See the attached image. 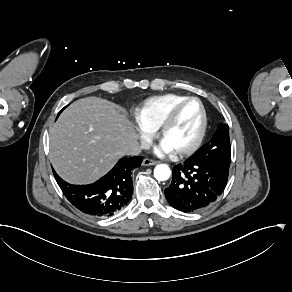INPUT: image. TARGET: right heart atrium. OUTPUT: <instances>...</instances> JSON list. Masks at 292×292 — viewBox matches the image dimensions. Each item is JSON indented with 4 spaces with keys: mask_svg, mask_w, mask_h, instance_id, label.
I'll list each match as a JSON object with an SVG mask.
<instances>
[{
    "mask_svg": "<svg viewBox=\"0 0 292 292\" xmlns=\"http://www.w3.org/2000/svg\"><path fill=\"white\" fill-rule=\"evenodd\" d=\"M142 133H143V142L145 141V138H146V132L145 130H142Z\"/></svg>",
    "mask_w": 292,
    "mask_h": 292,
    "instance_id": "right-heart-atrium-1",
    "label": "right heart atrium"
}]
</instances>
